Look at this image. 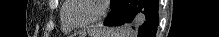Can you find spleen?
<instances>
[{"mask_svg":"<svg viewBox=\"0 0 219 37\" xmlns=\"http://www.w3.org/2000/svg\"><path fill=\"white\" fill-rule=\"evenodd\" d=\"M108 37H128L129 32L126 27H120L116 29H109L107 32Z\"/></svg>","mask_w":219,"mask_h":37,"instance_id":"spleen-1","label":"spleen"}]
</instances>
